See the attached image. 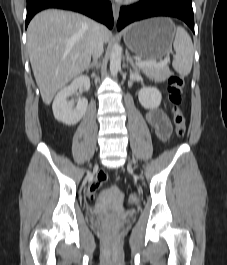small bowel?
<instances>
[{
    "mask_svg": "<svg viewBox=\"0 0 227 265\" xmlns=\"http://www.w3.org/2000/svg\"><path fill=\"white\" fill-rule=\"evenodd\" d=\"M146 122L155 130L161 141H166L171 133L170 118L165 110H149L144 113Z\"/></svg>",
    "mask_w": 227,
    "mask_h": 265,
    "instance_id": "obj_1",
    "label": "small bowel"
}]
</instances>
